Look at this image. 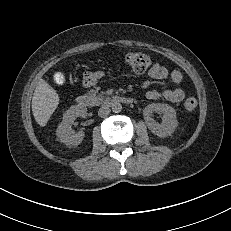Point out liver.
Masks as SVG:
<instances>
[{
  "instance_id": "6515ba94",
  "label": "liver",
  "mask_w": 231,
  "mask_h": 231,
  "mask_svg": "<svg viewBox=\"0 0 231 231\" xmlns=\"http://www.w3.org/2000/svg\"><path fill=\"white\" fill-rule=\"evenodd\" d=\"M58 104L57 92L45 80H39L32 98V113L41 127L46 126Z\"/></svg>"
}]
</instances>
